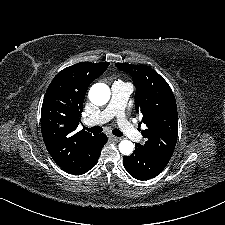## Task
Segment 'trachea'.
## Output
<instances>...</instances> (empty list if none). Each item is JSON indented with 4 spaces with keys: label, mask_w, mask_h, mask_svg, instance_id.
Segmentation results:
<instances>
[{
    "label": "trachea",
    "mask_w": 225,
    "mask_h": 225,
    "mask_svg": "<svg viewBox=\"0 0 225 225\" xmlns=\"http://www.w3.org/2000/svg\"><path fill=\"white\" fill-rule=\"evenodd\" d=\"M84 129H86V131L91 132V133H100L103 130L102 127H99V126H95L92 128L84 127ZM112 133L117 137L123 136V133L119 129H116V128L112 130Z\"/></svg>",
    "instance_id": "1"
}]
</instances>
